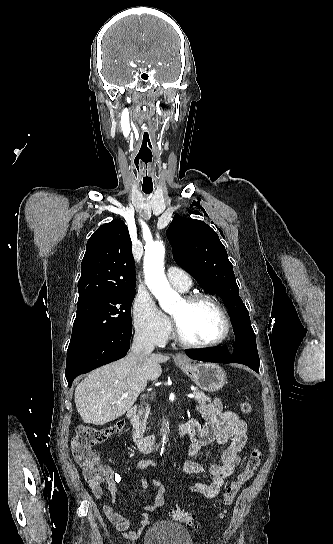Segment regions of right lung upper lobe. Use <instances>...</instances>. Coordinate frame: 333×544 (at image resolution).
<instances>
[{
	"label": "right lung upper lobe",
	"instance_id": "right-lung-upper-lobe-1",
	"mask_svg": "<svg viewBox=\"0 0 333 544\" xmlns=\"http://www.w3.org/2000/svg\"><path fill=\"white\" fill-rule=\"evenodd\" d=\"M135 263L122 220L101 225L89 238L78 281V301L110 291L135 290Z\"/></svg>",
	"mask_w": 333,
	"mask_h": 544
}]
</instances>
